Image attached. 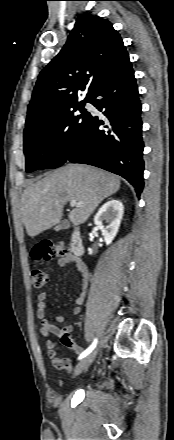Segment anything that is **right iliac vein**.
Returning a JSON list of instances; mask_svg holds the SVG:
<instances>
[{"mask_svg":"<svg viewBox=\"0 0 174 440\" xmlns=\"http://www.w3.org/2000/svg\"><path fill=\"white\" fill-rule=\"evenodd\" d=\"M98 350H94L92 353L83 358L75 367L74 375H79L86 370L90 364L95 360Z\"/></svg>","mask_w":174,"mask_h":440,"instance_id":"right-iliac-vein-1","label":"right iliac vein"}]
</instances>
